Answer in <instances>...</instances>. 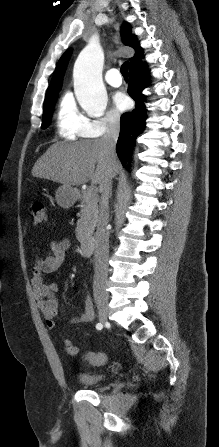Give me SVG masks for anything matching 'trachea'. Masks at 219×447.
Masks as SVG:
<instances>
[{
    "label": "trachea",
    "instance_id": "1",
    "mask_svg": "<svg viewBox=\"0 0 219 447\" xmlns=\"http://www.w3.org/2000/svg\"><path fill=\"white\" fill-rule=\"evenodd\" d=\"M128 67L129 64L127 62L121 66L120 72L124 78H128Z\"/></svg>",
    "mask_w": 219,
    "mask_h": 447
}]
</instances>
